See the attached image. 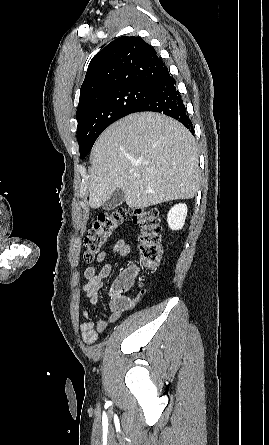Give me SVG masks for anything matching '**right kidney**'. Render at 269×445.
<instances>
[{"label": "right kidney", "mask_w": 269, "mask_h": 445, "mask_svg": "<svg viewBox=\"0 0 269 445\" xmlns=\"http://www.w3.org/2000/svg\"><path fill=\"white\" fill-rule=\"evenodd\" d=\"M186 204H176L170 209L167 215V222L172 230H180L183 228L187 216Z\"/></svg>", "instance_id": "obj_1"}]
</instances>
